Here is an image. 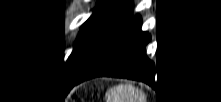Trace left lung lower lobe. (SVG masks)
I'll list each match as a JSON object with an SVG mask.
<instances>
[{"label": "left lung lower lobe", "mask_w": 221, "mask_h": 102, "mask_svg": "<svg viewBox=\"0 0 221 102\" xmlns=\"http://www.w3.org/2000/svg\"><path fill=\"white\" fill-rule=\"evenodd\" d=\"M141 25L139 15L130 16L84 69L66 80L68 88L99 76L128 78L149 85L154 83V63L145 50L151 37L141 31Z\"/></svg>", "instance_id": "obj_1"}]
</instances>
